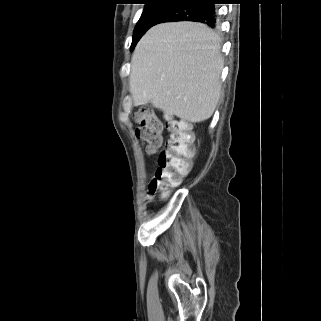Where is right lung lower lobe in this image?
<instances>
[{
    "label": "right lung lower lobe",
    "instance_id": "1",
    "mask_svg": "<svg viewBox=\"0 0 321 321\" xmlns=\"http://www.w3.org/2000/svg\"><path fill=\"white\" fill-rule=\"evenodd\" d=\"M214 4H216L215 0H188L165 12L157 24L171 21H194L215 27L218 14Z\"/></svg>",
    "mask_w": 321,
    "mask_h": 321
}]
</instances>
